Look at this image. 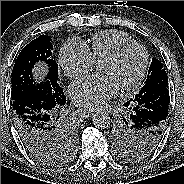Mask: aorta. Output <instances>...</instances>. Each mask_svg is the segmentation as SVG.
<instances>
[{
	"mask_svg": "<svg viewBox=\"0 0 184 184\" xmlns=\"http://www.w3.org/2000/svg\"><path fill=\"white\" fill-rule=\"evenodd\" d=\"M92 123L98 129H105L110 125V116L106 112H97L92 117Z\"/></svg>",
	"mask_w": 184,
	"mask_h": 184,
	"instance_id": "762f6f07",
	"label": "aorta"
}]
</instances>
